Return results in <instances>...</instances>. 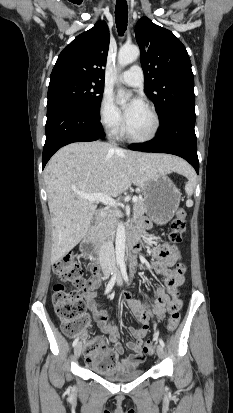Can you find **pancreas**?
Segmentation results:
<instances>
[{
  "label": "pancreas",
  "mask_w": 233,
  "mask_h": 413,
  "mask_svg": "<svg viewBox=\"0 0 233 413\" xmlns=\"http://www.w3.org/2000/svg\"><path fill=\"white\" fill-rule=\"evenodd\" d=\"M146 212V204L144 199H138L133 205L134 217H140ZM117 224V217L112 215L105 225H99L94 232V237L96 240L101 241L105 237L113 236L114 229Z\"/></svg>",
  "instance_id": "obj_1"
}]
</instances>
